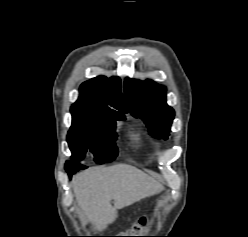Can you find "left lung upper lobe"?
<instances>
[{"label":"left lung upper lobe","mask_w":248,"mask_h":237,"mask_svg":"<svg viewBox=\"0 0 248 237\" xmlns=\"http://www.w3.org/2000/svg\"><path fill=\"white\" fill-rule=\"evenodd\" d=\"M124 91L132 115L141 118L153 136L167 139L175 114L166 104L165 87L127 78Z\"/></svg>","instance_id":"1"}]
</instances>
